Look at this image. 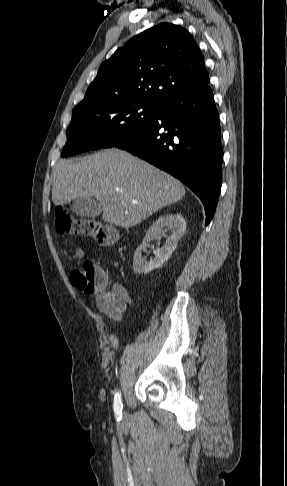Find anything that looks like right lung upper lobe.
<instances>
[{"instance_id":"obj_1","label":"right lung upper lobe","mask_w":287,"mask_h":486,"mask_svg":"<svg viewBox=\"0 0 287 486\" xmlns=\"http://www.w3.org/2000/svg\"><path fill=\"white\" fill-rule=\"evenodd\" d=\"M209 83L204 57L189 32L161 23L130 39L98 70L73 111L115 100L161 104Z\"/></svg>"}]
</instances>
